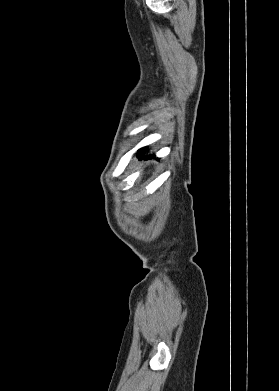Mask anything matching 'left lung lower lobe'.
Listing matches in <instances>:
<instances>
[{"mask_svg":"<svg viewBox=\"0 0 279 391\" xmlns=\"http://www.w3.org/2000/svg\"><path fill=\"white\" fill-rule=\"evenodd\" d=\"M146 151H147V148H146V147H145V148H142V149H140V150L138 151V155H139L141 158H143ZM149 157H154V155H152V156H146L145 158L148 159Z\"/></svg>","mask_w":279,"mask_h":391,"instance_id":"left-lung-lower-lobe-1","label":"left lung lower lobe"}]
</instances>
